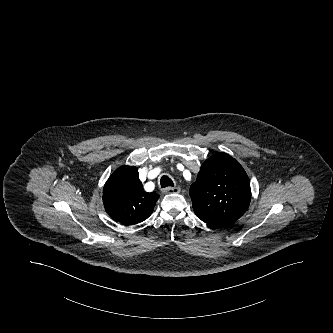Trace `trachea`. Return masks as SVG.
I'll return each mask as SVG.
<instances>
[{
  "label": "trachea",
  "instance_id": "obj_1",
  "mask_svg": "<svg viewBox=\"0 0 333 333\" xmlns=\"http://www.w3.org/2000/svg\"><path fill=\"white\" fill-rule=\"evenodd\" d=\"M160 184H161L162 188L169 187V186L174 187L173 181L166 175L161 177Z\"/></svg>",
  "mask_w": 333,
  "mask_h": 333
}]
</instances>
